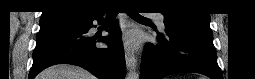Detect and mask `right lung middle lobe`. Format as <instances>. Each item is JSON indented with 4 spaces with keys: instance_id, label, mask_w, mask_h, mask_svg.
Returning a JSON list of instances; mask_svg holds the SVG:
<instances>
[{
    "instance_id": "right-lung-middle-lobe-1",
    "label": "right lung middle lobe",
    "mask_w": 255,
    "mask_h": 79,
    "mask_svg": "<svg viewBox=\"0 0 255 79\" xmlns=\"http://www.w3.org/2000/svg\"><path fill=\"white\" fill-rule=\"evenodd\" d=\"M80 20L72 13H62L40 19V29L56 26H65Z\"/></svg>"
}]
</instances>
